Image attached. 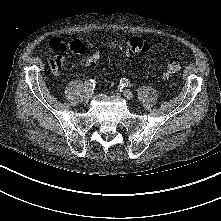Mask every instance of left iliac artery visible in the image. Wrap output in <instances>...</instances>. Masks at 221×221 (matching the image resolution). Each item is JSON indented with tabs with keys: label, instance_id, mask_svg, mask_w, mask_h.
I'll list each match as a JSON object with an SVG mask.
<instances>
[{
	"label": "left iliac artery",
	"instance_id": "left-iliac-artery-1",
	"mask_svg": "<svg viewBox=\"0 0 221 221\" xmlns=\"http://www.w3.org/2000/svg\"><path fill=\"white\" fill-rule=\"evenodd\" d=\"M120 84H121L123 87H128L129 84H130V81H129L128 79H126V78H122V79L120 80Z\"/></svg>",
	"mask_w": 221,
	"mask_h": 221
}]
</instances>
